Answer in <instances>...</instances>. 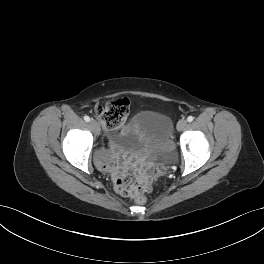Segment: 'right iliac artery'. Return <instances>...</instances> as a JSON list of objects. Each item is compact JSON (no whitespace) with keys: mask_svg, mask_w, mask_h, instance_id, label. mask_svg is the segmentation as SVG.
<instances>
[{"mask_svg":"<svg viewBox=\"0 0 264 264\" xmlns=\"http://www.w3.org/2000/svg\"><path fill=\"white\" fill-rule=\"evenodd\" d=\"M84 120H85L86 122H90V117H89V116H84Z\"/></svg>","mask_w":264,"mask_h":264,"instance_id":"82829eb1","label":"right iliac artery"}]
</instances>
